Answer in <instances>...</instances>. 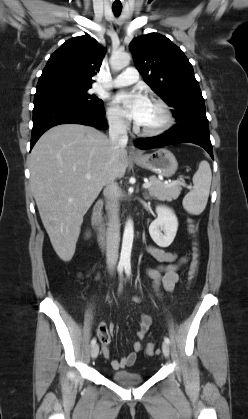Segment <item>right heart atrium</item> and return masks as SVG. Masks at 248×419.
<instances>
[{
    "mask_svg": "<svg viewBox=\"0 0 248 419\" xmlns=\"http://www.w3.org/2000/svg\"><path fill=\"white\" fill-rule=\"evenodd\" d=\"M106 117L109 125L117 131H125L128 128L127 120L122 114L113 106H108L106 110Z\"/></svg>",
    "mask_w": 248,
    "mask_h": 419,
    "instance_id": "1",
    "label": "right heart atrium"
}]
</instances>
